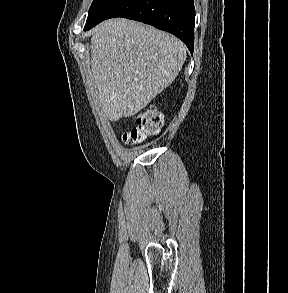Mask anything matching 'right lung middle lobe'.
I'll return each instance as SVG.
<instances>
[{
    "label": "right lung middle lobe",
    "mask_w": 288,
    "mask_h": 293,
    "mask_svg": "<svg viewBox=\"0 0 288 293\" xmlns=\"http://www.w3.org/2000/svg\"><path fill=\"white\" fill-rule=\"evenodd\" d=\"M124 1L125 0H93L84 30L106 19V17Z\"/></svg>",
    "instance_id": "right-lung-middle-lobe-1"
}]
</instances>
